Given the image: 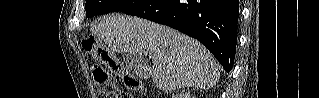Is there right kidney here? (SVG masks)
<instances>
[{
    "label": "right kidney",
    "mask_w": 319,
    "mask_h": 98,
    "mask_svg": "<svg viewBox=\"0 0 319 98\" xmlns=\"http://www.w3.org/2000/svg\"><path fill=\"white\" fill-rule=\"evenodd\" d=\"M179 98H190V96L188 94H181Z\"/></svg>",
    "instance_id": "obj_1"
}]
</instances>
